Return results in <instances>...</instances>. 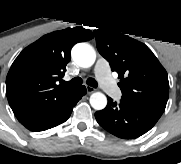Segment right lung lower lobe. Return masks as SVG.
Wrapping results in <instances>:
<instances>
[{
    "label": "right lung lower lobe",
    "instance_id": "right-lung-lower-lobe-1",
    "mask_svg": "<svg viewBox=\"0 0 181 164\" xmlns=\"http://www.w3.org/2000/svg\"><path fill=\"white\" fill-rule=\"evenodd\" d=\"M86 94V87H76L54 103L41 107H21L13 112L21 124L31 131H43L65 122L72 108Z\"/></svg>",
    "mask_w": 181,
    "mask_h": 164
}]
</instances>
